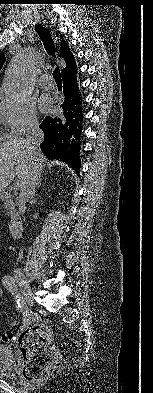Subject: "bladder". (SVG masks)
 Returning a JSON list of instances; mask_svg holds the SVG:
<instances>
[{"instance_id":"31cf9c89","label":"bladder","mask_w":153,"mask_h":393,"mask_svg":"<svg viewBox=\"0 0 153 393\" xmlns=\"http://www.w3.org/2000/svg\"><path fill=\"white\" fill-rule=\"evenodd\" d=\"M16 362L9 346L0 345V378L12 379Z\"/></svg>"}]
</instances>
